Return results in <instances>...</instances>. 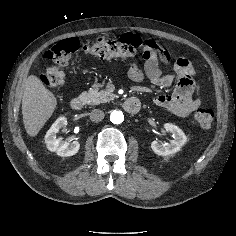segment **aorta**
<instances>
[{"label": "aorta", "instance_id": "762f6f07", "mask_svg": "<svg viewBox=\"0 0 236 236\" xmlns=\"http://www.w3.org/2000/svg\"><path fill=\"white\" fill-rule=\"evenodd\" d=\"M110 120L114 124H120L124 120V115L121 111L114 110L111 112Z\"/></svg>", "mask_w": 236, "mask_h": 236}]
</instances>
